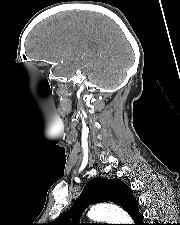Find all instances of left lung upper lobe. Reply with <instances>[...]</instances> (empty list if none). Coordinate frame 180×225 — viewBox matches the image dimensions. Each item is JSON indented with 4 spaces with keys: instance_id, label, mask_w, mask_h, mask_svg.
<instances>
[{
    "instance_id": "1",
    "label": "left lung upper lobe",
    "mask_w": 180,
    "mask_h": 225,
    "mask_svg": "<svg viewBox=\"0 0 180 225\" xmlns=\"http://www.w3.org/2000/svg\"><path fill=\"white\" fill-rule=\"evenodd\" d=\"M108 201L121 206L129 215L138 210L132 189L121 180L94 178L85 185L73 206L49 225H85L79 224L84 209L90 203Z\"/></svg>"
}]
</instances>
